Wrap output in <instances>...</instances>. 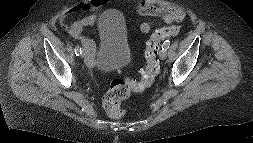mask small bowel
<instances>
[{
	"instance_id": "small-bowel-1",
	"label": "small bowel",
	"mask_w": 253,
	"mask_h": 143,
	"mask_svg": "<svg viewBox=\"0 0 253 143\" xmlns=\"http://www.w3.org/2000/svg\"><path fill=\"white\" fill-rule=\"evenodd\" d=\"M108 2L109 0H88L87 2L76 4L63 14L60 19V22L67 33L74 39L81 41L83 47L88 48L90 51L93 50V42L91 39L83 35V31L94 25L97 13L105 7ZM137 11L144 16L160 18L166 25L181 22L185 17L183 9L175 5H153L140 2ZM79 13L89 14L71 24L65 23L66 18ZM154 25V22H144L140 26L141 33H149Z\"/></svg>"
}]
</instances>
